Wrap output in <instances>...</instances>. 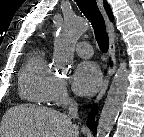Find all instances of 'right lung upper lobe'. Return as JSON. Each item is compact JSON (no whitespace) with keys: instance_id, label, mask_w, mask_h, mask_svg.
<instances>
[{"instance_id":"obj_1","label":"right lung upper lobe","mask_w":144,"mask_h":137,"mask_svg":"<svg viewBox=\"0 0 144 137\" xmlns=\"http://www.w3.org/2000/svg\"><path fill=\"white\" fill-rule=\"evenodd\" d=\"M104 7L107 11V14H108L110 20L113 21V14L111 12V9H110L109 5L107 4V2L105 0H104Z\"/></svg>"}]
</instances>
